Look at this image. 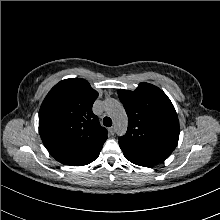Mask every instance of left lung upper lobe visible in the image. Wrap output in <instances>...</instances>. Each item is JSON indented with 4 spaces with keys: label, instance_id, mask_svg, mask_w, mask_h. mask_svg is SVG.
<instances>
[{
    "label": "left lung upper lobe",
    "instance_id": "1",
    "mask_svg": "<svg viewBox=\"0 0 220 220\" xmlns=\"http://www.w3.org/2000/svg\"><path fill=\"white\" fill-rule=\"evenodd\" d=\"M128 115V129L119 138L124 154L155 165L170 156L179 139L178 116L173 104L158 87L140 83L136 90H119Z\"/></svg>",
    "mask_w": 220,
    "mask_h": 220
}]
</instances>
